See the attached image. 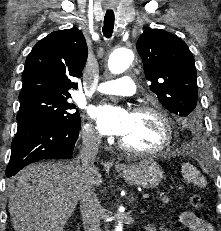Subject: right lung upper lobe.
Returning a JSON list of instances; mask_svg holds the SVG:
<instances>
[{
	"instance_id": "right-lung-upper-lobe-1",
	"label": "right lung upper lobe",
	"mask_w": 221,
	"mask_h": 231,
	"mask_svg": "<svg viewBox=\"0 0 221 231\" xmlns=\"http://www.w3.org/2000/svg\"><path fill=\"white\" fill-rule=\"evenodd\" d=\"M87 44L78 28L50 33L36 43L25 61L19 99L37 95H70L78 87L87 61Z\"/></svg>"
}]
</instances>
